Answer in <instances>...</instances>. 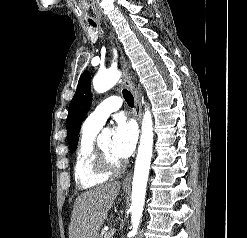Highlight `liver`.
<instances>
[{"mask_svg": "<svg viewBox=\"0 0 247 238\" xmlns=\"http://www.w3.org/2000/svg\"><path fill=\"white\" fill-rule=\"evenodd\" d=\"M120 189L119 183L112 182L81 193L74 202L69 238H98Z\"/></svg>", "mask_w": 247, "mask_h": 238, "instance_id": "obj_1", "label": "liver"}]
</instances>
